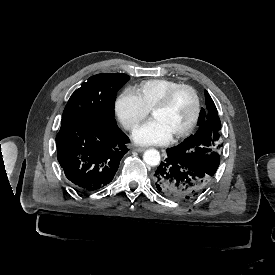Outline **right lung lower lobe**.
<instances>
[{
  "label": "right lung lower lobe",
  "instance_id": "right-lung-lower-lobe-1",
  "mask_svg": "<svg viewBox=\"0 0 275 275\" xmlns=\"http://www.w3.org/2000/svg\"><path fill=\"white\" fill-rule=\"evenodd\" d=\"M128 142L118 126L103 129L83 120H66L56 136L57 159L74 188L92 192L112 181Z\"/></svg>",
  "mask_w": 275,
  "mask_h": 275
}]
</instances>
